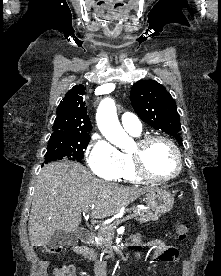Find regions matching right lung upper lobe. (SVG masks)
Returning <instances> with one entry per match:
<instances>
[{
    "mask_svg": "<svg viewBox=\"0 0 221 276\" xmlns=\"http://www.w3.org/2000/svg\"><path fill=\"white\" fill-rule=\"evenodd\" d=\"M85 87L75 85L57 108V117L50 138H74L89 135L92 129L84 102Z\"/></svg>",
    "mask_w": 221,
    "mask_h": 276,
    "instance_id": "obj_1",
    "label": "right lung upper lobe"
}]
</instances>
